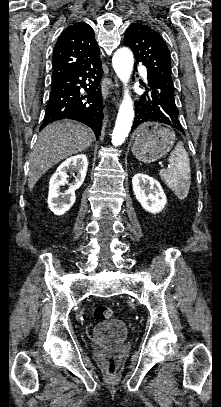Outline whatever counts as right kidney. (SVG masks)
<instances>
[{
	"mask_svg": "<svg viewBox=\"0 0 221 407\" xmlns=\"http://www.w3.org/2000/svg\"><path fill=\"white\" fill-rule=\"evenodd\" d=\"M87 167L88 160L84 154L72 156L59 165L50 179L48 193V206L55 215H63L73 206L76 199L75 190L83 184ZM71 170H75L77 176L75 181L69 184V189L62 193L60 189L68 184L67 172Z\"/></svg>",
	"mask_w": 221,
	"mask_h": 407,
	"instance_id": "right-kidney-1",
	"label": "right kidney"
}]
</instances>
